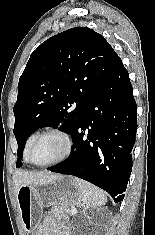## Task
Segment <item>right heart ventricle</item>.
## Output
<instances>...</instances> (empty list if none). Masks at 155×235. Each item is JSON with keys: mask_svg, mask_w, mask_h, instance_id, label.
Wrapping results in <instances>:
<instances>
[{"mask_svg": "<svg viewBox=\"0 0 155 235\" xmlns=\"http://www.w3.org/2000/svg\"><path fill=\"white\" fill-rule=\"evenodd\" d=\"M37 133H32L28 136V138L26 139L25 141V144H24V149H23V158H24V161L25 162H28L27 159H26V152H27V149L30 145V143L32 142V140L34 139V137L36 136Z\"/></svg>", "mask_w": 155, "mask_h": 235, "instance_id": "right-heart-ventricle-1", "label": "right heart ventricle"}]
</instances>
